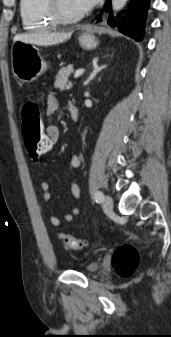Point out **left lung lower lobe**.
Masks as SVG:
<instances>
[{
    "instance_id": "left-lung-lower-lobe-1",
    "label": "left lung lower lobe",
    "mask_w": 171,
    "mask_h": 337,
    "mask_svg": "<svg viewBox=\"0 0 171 337\" xmlns=\"http://www.w3.org/2000/svg\"><path fill=\"white\" fill-rule=\"evenodd\" d=\"M149 6V0H132L129 5L130 12L126 21H116L112 15L108 19V24L111 27H118L123 34L140 41L144 34V24L146 12ZM106 11L111 12V4L108 1ZM99 18V17H97Z\"/></svg>"
}]
</instances>
